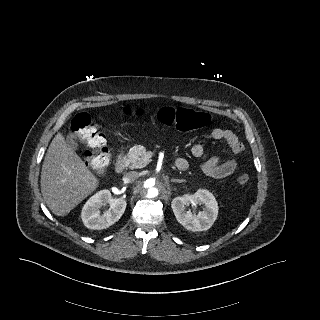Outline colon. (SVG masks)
<instances>
[{
  "instance_id": "5ec220e1",
  "label": "colon",
  "mask_w": 320,
  "mask_h": 320,
  "mask_svg": "<svg viewBox=\"0 0 320 320\" xmlns=\"http://www.w3.org/2000/svg\"><path fill=\"white\" fill-rule=\"evenodd\" d=\"M125 112L130 114L133 110L127 108ZM136 113L143 114L142 111ZM157 119L161 124L180 131L203 129L211 122L208 113L184 107H164L159 110ZM71 131L88 149L85 153L87 164L99 173L107 170L110 159L106 138L91 117L86 113L75 116L71 122ZM249 180L250 176L247 173H242L237 177V182L241 185L248 183Z\"/></svg>"
}]
</instances>
